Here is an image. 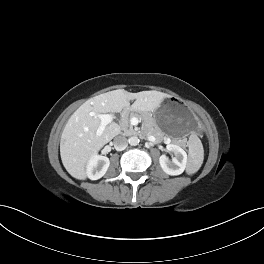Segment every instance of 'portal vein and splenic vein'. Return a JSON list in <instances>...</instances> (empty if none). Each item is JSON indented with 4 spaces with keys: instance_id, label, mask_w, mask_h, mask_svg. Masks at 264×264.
Returning <instances> with one entry per match:
<instances>
[{
    "instance_id": "obj_1",
    "label": "portal vein and splenic vein",
    "mask_w": 264,
    "mask_h": 264,
    "mask_svg": "<svg viewBox=\"0 0 264 264\" xmlns=\"http://www.w3.org/2000/svg\"><path fill=\"white\" fill-rule=\"evenodd\" d=\"M92 116H95V114H91ZM97 117L100 119V126L96 132L97 136H101L105 126L112 123L113 121V115L112 114H98Z\"/></svg>"
}]
</instances>
